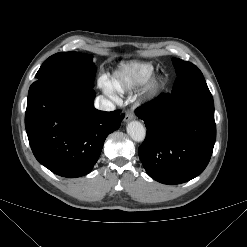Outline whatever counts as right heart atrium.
Here are the masks:
<instances>
[{"label": "right heart atrium", "mask_w": 247, "mask_h": 247, "mask_svg": "<svg viewBox=\"0 0 247 247\" xmlns=\"http://www.w3.org/2000/svg\"><path fill=\"white\" fill-rule=\"evenodd\" d=\"M99 84L101 88L110 96L114 97V92L110 89V85L108 83V80L105 77H101L99 79Z\"/></svg>", "instance_id": "obj_1"}]
</instances>
